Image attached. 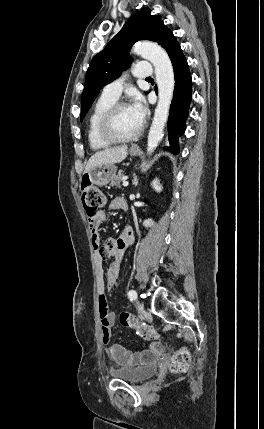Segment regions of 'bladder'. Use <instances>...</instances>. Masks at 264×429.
Returning <instances> with one entry per match:
<instances>
[{
  "label": "bladder",
  "instance_id": "bladder-1",
  "mask_svg": "<svg viewBox=\"0 0 264 429\" xmlns=\"http://www.w3.org/2000/svg\"><path fill=\"white\" fill-rule=\"evenodd\" d=\"M157 372L155 363L140 365L130 368H119L111 370L110 375L114 379L129 383H141L153 377Z\"/></svg>",
  "mask_w": 264,
  "mask_h": 429
}]
</instances>
